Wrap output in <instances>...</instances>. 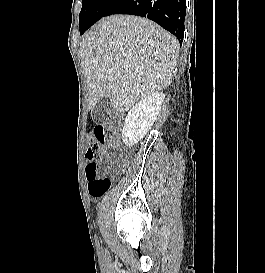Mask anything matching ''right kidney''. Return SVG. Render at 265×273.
<instances>
[{"label": "right kidney", "mask_w": 265, "mask_h": 273, "mask_svg": "<svg viewBox=\"0 0 265 273\" xmlns=\"http://www.w3.org/2000/svg\"><path fill=\"white\" fill-rule=\"evenodd\" d=\"M164 99L163 92H156L130 109L122 130V139L126 146H134L147 134L161 110Z\"/></svg>", "instance_id": "obj_1"}]
</instances>
